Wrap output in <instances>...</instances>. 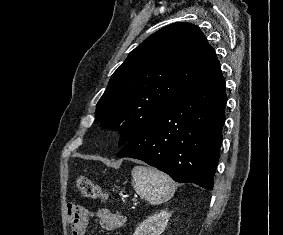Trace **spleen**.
I'll use <instances>...</instances> for the list:
<instances>
[{"mask_svg":"<svg viewBox=\"0 0 283 235\" xmlns=\"http://www.w3.org/2000/svg\"><path fill=\"white\" fill-rule=\"evenodd\" d=\"M136 193L151 205H160L172 198L176 184L167 174L150 167L135 166L131 171Z\"/></svg>","mask_w":283,"mask_h":235,"instance_id":"obj_1","label":"spleen"}]
</instances>
